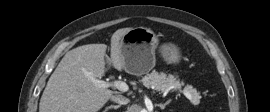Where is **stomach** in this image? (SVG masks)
Listing matches in <instances>:
<instances>
[{
  "mask_svg": "<svg viewBox=\"0 0 270 112\" xmlns=\"http://www.w3.org/2000/svg\"><path fill=\"white\" fill-rule=\"evenodd\" d=\"M157 45L156 34L148 28L137 27L128 31L120 41L125 71L135 76L148 73L155 65ZM160 52L168 64H177L180 60V51L172 43L163 44Z\"/></svg>",
  "mask_w": 270,
  "mask_h": 112,
  "instance_id": "stomach-1",
  "label": "stomach"
}]
</instances>
